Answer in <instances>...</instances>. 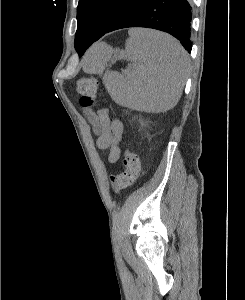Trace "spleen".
Masks as SVG:
<instances>
[{"mask_svg": "<svg viewBox=\"0 0 245 300\" xmlns=\"http://www.w3.org/2000/svg\"><path fill=\"white\" fill-rule=\"evenodd\" d=\"M137 62L120 74L106 69L111 57ZM188 56L180 43L168 34L150 29H130L125 50L106 44L86 57L83 70L103 74V83L119 105L146 112H165L179 101L188 75Z\"/></svg>", "mask_w": 245, "mask_h": 300, "instance_id": "3e777b00", "label": "spleen"}]
</instances>
